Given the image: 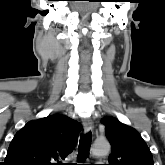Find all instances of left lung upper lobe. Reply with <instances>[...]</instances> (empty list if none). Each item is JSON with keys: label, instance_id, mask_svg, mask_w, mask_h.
<instances>
[{"label": "left lung upper lobe", "instance_id": "obj_1", "mask_svg": "<svg viewBox=\"0 0 165 165\" xmlns=\"http://www.w3.org/2000/svg\"><path fill=\"white\" fill-rule=\"evenodd\" d=\"M102 123L112 148L108 165H153L148 146L134 128L113 117H104Z\"/></svg>", "mask_w": 165, "mask_h": 165}]
</instances>
